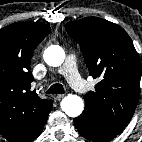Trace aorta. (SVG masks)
<instances>
[{"mask_svg":"<svg viewBox=\"0 0 142 142\" xmlns=\"http://www.w3.org/2000/svg\"><path fill=\"white\" fill-rule=\"evenodd\" d=\"M43 58L48 65L57 67L64 62L65 52L62 47L51 45L44 51ZM61 109L69 117H78L84 110V101L77 95H68L62 99Z\"/></svg>","mask_w":142,"mask_h":142,"instance_id":"1","label":"aorta"}]
</instances>
